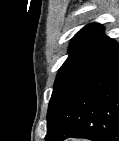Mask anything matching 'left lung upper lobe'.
Returning <instances> with one entry per match:
<instances>
[{"label": "left lung upper lobe", "mask_w": 119, "mask_h": 141, "mask_svg": "<svg viewBox=\"0 0 119 141\" xmlns=\"http://www.w3.org/2000/svg\"><path fill=\"white\" fill-rule=\"evenodd\" d=\"M103 31L101 24L93 23L82 28L72 38L70 55L58 71L52 96L74 80L97 56L106 39Z\"/></svg>", "instance_id": "5c2ea615"}]
</instances>
